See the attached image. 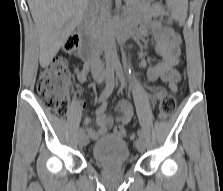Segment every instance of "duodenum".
I'll list each match as a JSON object with an SVG mask.
<instances>
[{
    "label": "duodenum",
    "mask_w": 223,
    "mask_h": 191,
    "mask_svg": "<svg viewBox=\"0 0 223 191\" xmlns=\"http://www.w3.org/2000/svg\"><path fill=\"white\" fill-rule=\"evenodd\" d=\"M88 34L89 36H92L90 31H88ZM115 34L117 41L119 43H123L128 35V31L121 23H117L115 26ZM95 49V43L85 45L80 53V56L84 59H87L88 63H92Z\"/></svg>",
    "instance_id": "obj_1"
}]
</instances>
